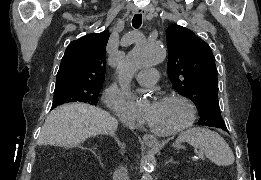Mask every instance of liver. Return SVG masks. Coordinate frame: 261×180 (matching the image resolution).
Here are the masks:
<instances>
[{
  "label": "liver",
  "mask_w": 261,
  "mask_h": 180,
  "mask_svg": "<svg viewBox=\"0 0 261 180\" xmlns=\"http://www.w3.org/2000/svg\"><path fill=\"white\" fill-rule=\"evenodd\" d=\"M117 120L89 104H65L51 112L42 128L40 144L80 148L88 138L112 136Z\"/></svg>",
  "instance_id": "liver-1"
}]
</instances>
